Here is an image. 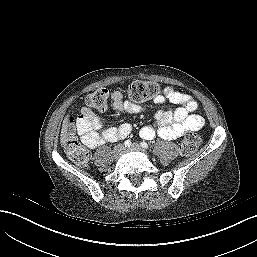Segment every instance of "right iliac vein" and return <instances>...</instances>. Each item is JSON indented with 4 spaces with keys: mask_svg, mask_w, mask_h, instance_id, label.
<instances>
[{
    "mask_svg": "<svg viewBox=\"0 0 257 257\" xmlns=\"http://www.w3.org/2000/svg\"><path fill=\"white\" fill-rule=\"evenodd\" d=\"M123 150H124L123 145H117V146H115V147L113 148V156H114L115 158H118V157L122 154Z\"/></svg>",
    "mask_w": 257,
    "mask_h": 257,
    "instance_id": "obj_1",
    "label": "right iliac vein"
}]
</instances>
